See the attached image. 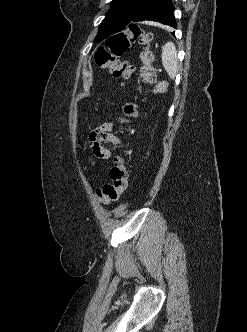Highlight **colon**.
<instances>
[{"instance_id": "colon-1", "label": "colon", "mask_w": 247, "mask_h": 332, "mask_svg": "<svg viewBox=\"0 0 247 332\" xmlns=\"http://www.w3.org/2000/svg\"><path fill=\"white\" fill-rule=\"evenodd\" d=\"M152 36L138 25L132 24L123 32L112 36L106 44L95 54V61L101 68L108 69L117 78L131 79L134 67L128 62L120 61L121 57L132 42H139L142 46L140 59L142 65L137 76V90L140 93L134 101L127 102L123 107V114L119 117L120 126L129 125L139 114L140 104L145 101L148 86L155 79V69L152 65L153 54L150 49ZM111 183L96 190L98 199L104 204H110L120 199L128 187L127 161L124 156L116 155L114 165L110 169Z\"/></svg>"}]
</instances>
